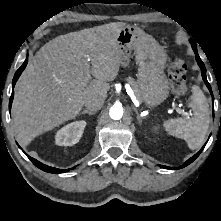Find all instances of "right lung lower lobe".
Wrapping results in <instances>:
<instances>
[{
	"mask_svg": "<svg viewBox=\"0 0 221 221\" xmlns=\"http://www.w3.org/2000/svg\"><path fill=\"white\" fill-rule=\"evenodd\" d=\"M27 65V59L24 61V63L21 65V67L17 70V72L15 73L14 75V78H13V81H12V88H14L15 86V83L17 81V79L19 78V76L21 75L22 71L25 69ZM13 97H14V91H12V95L10 97V101H9V110H11V105H12V101H13ZM26 154V153H25ZM27 155V154H26ZM27 157L31 160V162L37 166L39 169L45 171V172H49V173H54V174H58V173H64V172H67L71 169H67V170H60V169H57V168H53V167H50V166H47V165H44L43 163L37 161L36 159L30 157L27 155Z\"/></svg>",
	"mask_w": 221,
	"mask_h": 221,
	"instance_id": "1",
	"label": "right lung lower lobe"
}]
</instances>
